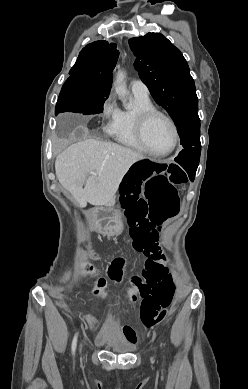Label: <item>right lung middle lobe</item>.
Listing matches in <instances>:
<instances>
[{"instance_id":"obj_1","label":"right lung middle lobe","mask_w":248,"mask_h":389,"mask_svg":"<svg viewBox=\"0 0 248 389\" xmlns=\"http://www.w3.org/2000/svg\"><path fill=\"white\" fill-rule=\"evenodd\" d=\"M109 93L110 89L87 85L82 76H70L59 94L55 113L65 111L84 115L102 113L103 104Z\"/></svg>"}]
</instances>
